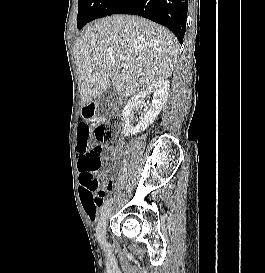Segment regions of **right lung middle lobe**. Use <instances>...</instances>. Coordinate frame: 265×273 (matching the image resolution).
Returning a JSON list of instances; mask_svg holds the SVG:
<instances>
[{
  "instance_id": "dd1d6c3e",
  "label": "right lung middle lobe",
  "mask_w": 265,
  "mask_h": 273,
  "mask_svg": "<svg viewBox=\"0 0 265 273\" xmlns=\"http://www.w3.org/2000/svg\"><path fill=\"white\" fill-rule=\"evenodd\" d=\"M117 1L118 0H78V29H81L94 19L105 17Z\"/></svg>"
}]
</instances>
